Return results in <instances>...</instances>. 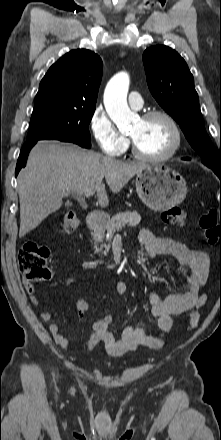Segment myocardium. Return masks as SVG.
<instances>
[{
  "instance_id": "f54148a6",
  "label": "myocardium",
  "mask_w": 221,
  "mask_h": 440,
  "mask_svg": "<svg viewBox=\"0 0 221 440\" xmlns=\"http://www.w3.org/2000/svg\"><path fill=\"white\" fill-rule=\"evenodd\" d=\"M154 117H162L169 123L173 132L172 146L167 152L161 155H146L138 149L137 145L135 144V141L133 140V138H131L132 153L139 160L149 161V162H162L172 158L179 151L182 144V133L175 118L165 110L154 109L147 111L144 114H142L141 119L148 120Z\"/></svg>"
}]
</instances>
